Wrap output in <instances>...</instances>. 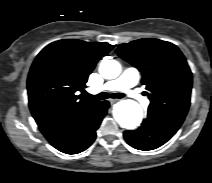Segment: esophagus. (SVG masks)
I'll return each instance as SVG.
<instances>
[{
    "instance_id": "1",
    "label": "esophagus",
    "mask_w": 212,
    "mask_h": 183,
    "mask_svg": "<svg viewBox=\"0 0 212 183\" xmlns=\"http://www.w3.org/2000/svg\"><path fill=\"white\" fill-rule=\"evenodd\" d=\"M118 100H119V99H110L109 102H110L111 104H114V103H116Z\"/></svg>"
}]
</instances>
